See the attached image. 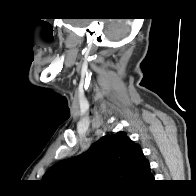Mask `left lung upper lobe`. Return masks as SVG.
Segmentation results:
<instances>
[{
    "mask_svg": "<svg viewBox=\"0 0 196 196\" xmlns=\"http://www.w3.org/2000/svg\"><path fill=\"white\" fill-rule=\"evenodd\" d=\"M145 161L141 147L125 132H118L102 137L86 153L58 162L42 180L48 184L65 185L82 182L90 174H98L100 181H116V172L107 171L114 167L127 177L124 181L133 182Z\"/></svg>",
    "mask_w": 196,
    "mask_h": 196,
    "instance_id": "5c2ea615",
    "label": "left lung upper lobe"
}]
</instances>
